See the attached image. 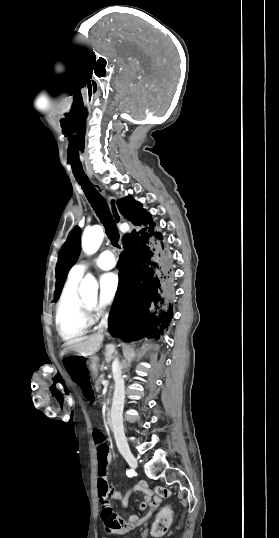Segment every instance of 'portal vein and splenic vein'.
<instances>
[{
  "mask_svg": "<svg viewBox=\"0 0 279 538\" xmlns=\"http://www.w3.org/2000/svg\"><path fill=\"white\" fill-rule=\"evenodd\" d=\"M104 385H108V382H107V380H104Z\"/></svg>",
  "mask_w": 279,
  "mask_h": 538,
  "instance_id": "portal-vein-and-splenic-vein-1",
  "label": "portal vein and splenic vein"
}]
</instances>
